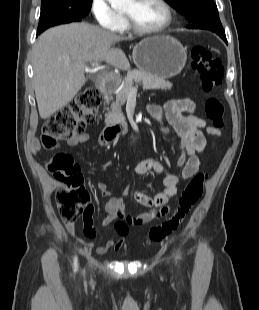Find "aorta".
<instances>
[{
  "mask_svg": "<svg viewBox=\"0 0 259 310\" xmlns=\"http://www.w3.org/2000/svg\"><path fill=\"white\" fill-rule=\"evenodd\" d=\"M111 7L118 10L125 7L131 0H107Z\"/></svg>",
  "mask_w": 259,
  "mask_h": 310,
  "instance_id": "obj_1",
  "label": "aorta"
}]
</instances>
